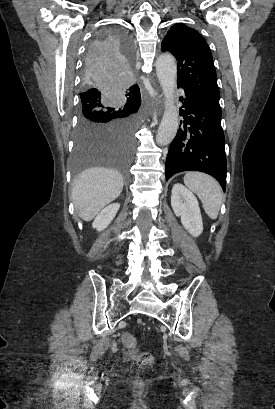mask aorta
<instances>
[{
  "mask_svg": "<svg viewBox=\"0 0 275 409\" xmlns=\"http://www.w3.org/2000/svg\"><path fill=\"white\" fill-rule=\"evenodd\" d=\"M156 72L160 86L165 96V110L156 134V142L159 146H166L178 130V108L174 102V88L176 86V60L172 54L164 52L157 56L155 62Z\"/></svg>",
  "mask_w": 275,
  "mask_h": 409,
  "instance_id": "obj_1",
  "label": "aorta"
}]
</instances>
